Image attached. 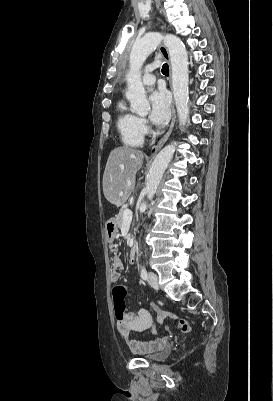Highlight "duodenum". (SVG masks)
<instances>
[{"label": "duodenum", "instance_id": "1", "mask_svg": "<svg viewBox=\"0 0 273 401\" xmlns=\"http://www.w3.org/2000/svg\"><path fill=\"white\" fill-rule=\"evenodd\" d=\"M129 257L131 261H134L136 258V246L134 244H132L130 247Z\"/></svg>", "mask_w": 273, "mask_h": 401}]
</instances>
